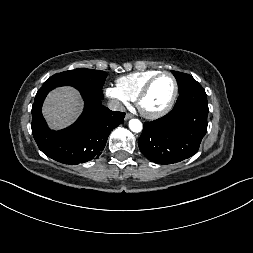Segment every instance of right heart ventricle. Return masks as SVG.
I'll use <instances>...</instances> for the list:
<instances>
[{"mask_svg": "<svg viewBox=\"0 0 253 253\" xmlns=\"http://www.w3.org/2000/svg\"><path fill=\"white\" fill-rule=\"evenodd\" d=\"M157 73L159 71L149 70L121 76L116 80V87L128 100L134 101L146 82Z\"/></svg>", "mask_w": 253, "mask_h": 253, "instance_id": "right-heart-ventricle-1", "label": "right heart ventricle"}]
</instances>
